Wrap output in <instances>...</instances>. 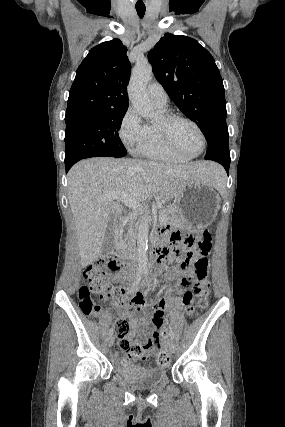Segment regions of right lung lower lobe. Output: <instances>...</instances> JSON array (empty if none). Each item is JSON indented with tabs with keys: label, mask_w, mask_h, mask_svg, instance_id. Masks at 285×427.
I'll return each instance as SVG.
<instances>
[{
	"label": "right lung lower lobe",
	"mask_w": 285,
	"mask_h": 427,
	"mask_svg": "<svg viewBox=\"0 0 285 427\" xmlns=\"http://www.w3.org/2000/svg\"><path fill=\"white\" fill-rule=\"evenodd\" d=\"M71 168V166H67L66 167V172H68V170Z\"/></svg>",
	"instance_id": "98d812e1"
}]
</instances>
